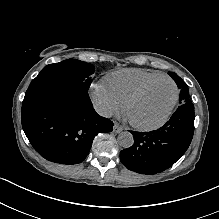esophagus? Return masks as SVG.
Listing matches in <instances>:
<instances>
[{"instance_id": "1", "label": "esophagus", "mask_w": 219, "mask_h": 219, "mask_svg": "<svg viewBox=\"0 0 219 219\" xmlns=\"http://www.w3.org/2000/svg\"><path fill=\"white\" fill-rule=\"evenodd\" d=\"M123 130H124V128L121 125H119L117 123L114 124L113 131L115 133H121Z\"/></svg>"}]
</instances>
